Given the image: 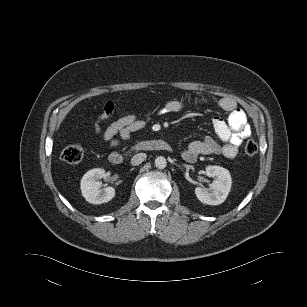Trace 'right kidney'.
I'll return each instance as SVG.
<instances>
[{"label":"right kidney","instance_id":"obj_1","mask_svg":"<svg viewBox=\"0 0 307 307\" xmlns=\"http://www.w3.org/2000/svg\"><path fill=\"white\" fill-rule=\"evenodd\" d=\"M105 170L94 168L84 174L81 180V191L87 202L92 204H101L110 201L115 196L113 187L100 189L98 179L105 176Z\"/></svg>","mask_w":307,"mask_h":307}]
</instances>
